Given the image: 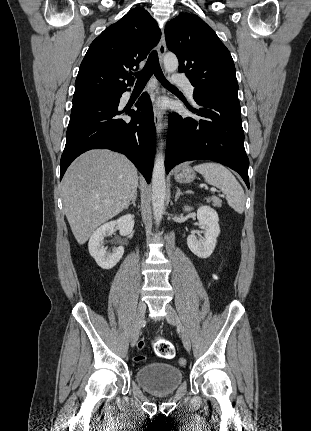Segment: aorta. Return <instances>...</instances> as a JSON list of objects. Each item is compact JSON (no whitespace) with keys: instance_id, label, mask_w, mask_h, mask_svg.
<instances>
[{"instance_id":"1","label":"aorta","mask_w":311,"mask_h":431,"mask_svg":"<svg viewBox=\"0 0 311 431\" xmlns=\"http://www.w3.org/2000/svg\"><path fill=\"white\" fill-rule=\"evenodd\" d=\"M164 68L168 74L178 70V60L175 54L168 52L164 56ZM162 142V140H161ZM164 144H159L158 152L155 156L153 172H152V210L155 223H160V219L164 214L165 198H166V170L165 156L162 152Z\"/></svg>"}]
</instances>
